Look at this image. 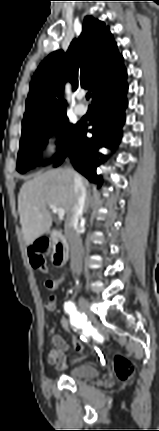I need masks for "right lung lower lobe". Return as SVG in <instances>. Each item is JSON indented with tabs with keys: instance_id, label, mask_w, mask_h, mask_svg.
Wrapping results in <instances>:
<instances>
[{
	"instance_id": "98d812e1",
	"label": "right lung lower lobe",
	"mask_w": 159,
	"mask_h": 431,
	"mask_svg": "<svg viewBox=\"0 0 159 431\" xmlns=\"http://www.w3.org/2000/svg\"><path fill=\"white\" fill-rule=\"evenodd\" d=\"M127 75V74H126ZM126 75L103 88L93 99V116L89 130L93 134L86 137L87 124L79 125L63 147V151L56 159L54 166H59L68 156L74 168L83 174L90 182L102 185V177L97 175L96 169L106 159L99 153V148H115L119 144L121 128L125 122V108L127 107L126 92L128 85Z\"/></svg>"
}]
</instances>
